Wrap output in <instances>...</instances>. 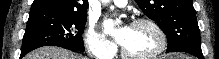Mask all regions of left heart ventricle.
Instances as JSON below:
<instances>
[{
  "instance_id": "obj_1",
  "label": "left heart ventricle",
  "mask_w": 219,
  "mask_h": 59,
  "mask_svg": "<svg viewBox=\"0 0 219 59\" xmlns=\"http://www.w3.org/2000/svg\"><path fill=\"white\" fill-rule=\"evenodd\" d=\"M158 45V36L155 31L146 25L132 26L128 38L122 45L133 55H145L152 52Z\"/></svg>"
}]
</instances>
